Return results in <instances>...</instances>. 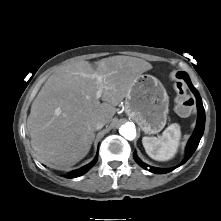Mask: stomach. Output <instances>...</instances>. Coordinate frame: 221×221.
<instances>
[{"mask_svg": "<svg viewBox=\"0 0 221 221\" xmlns=\"http://www.w3.org/2000/svg\"><path fill=\"white\" fill-rule=\"evenodd\" d=\"M169 97L154 76L141 74L125 98V111L145 134L160 132L167 122Z\"/></svg>", "mask_w": 221, "mask_h": 221, "instance_id": "stomach-1", "label": "stomach"}]
</instances>
